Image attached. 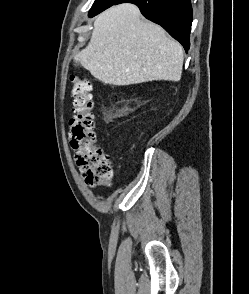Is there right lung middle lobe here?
Returning <instances> with one entry per match:
<instances>
[{"mask_svg": "<svg viewBox=\"0 0 249 294\" xmlns=\"http://www.w3.org/2000/svg\"><path fill=\"white\" fill-rule=\"evenodd\" d=\"M119 0H95L92 8L89 11V17H92L93 15L105 10L106 8L112 6Z\"/></svg>", "mask_w": 249, "mask_h": 294, "instance_id": "1", "label": "right lung middle lobe"}]
</instances>
